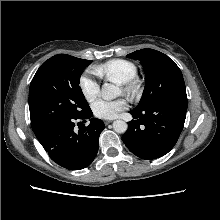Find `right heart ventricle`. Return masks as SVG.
<instances>
[{
    "mask_svg": "<svg viewBox=\"0 0 220 220\" xmlns=\"http://www.w3.org/2000/svg\"><path fill=\"white\" fill-rule=\"evenodd\" d=\"M94 73L117 84L126 83L138 74L137 66L125 59H113L93 68Z\"/></svg>",
    "mask_w": 220,
    "mask_h": 220,
    "instance_id": "e07e8e85",
    "label": "right heart ventricle"
}]
</instances>
